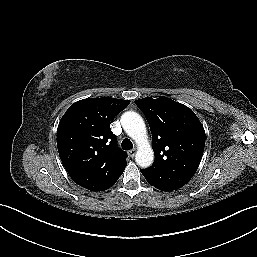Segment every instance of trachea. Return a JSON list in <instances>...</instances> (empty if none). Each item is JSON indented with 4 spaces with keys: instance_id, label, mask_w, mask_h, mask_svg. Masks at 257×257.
I'll list each match as a JSON object with an SVG mask.
<instances>
[{
    "instance_id": "1",
    "label": "trachea",
    "mask_w": 257,
    "mask_h": 257,
    "mask_svg": "<svg viewBox=\"0 0 257 257\" xmlns=\"http://www.w3.org/2000/svg\"><path fill=\"white\" fill-rule=\"evenodd\" d=\"M121 147L124 150H130L133 148V143L129 139H124L121 143Z\"/></svg>"
}]
</instances>
